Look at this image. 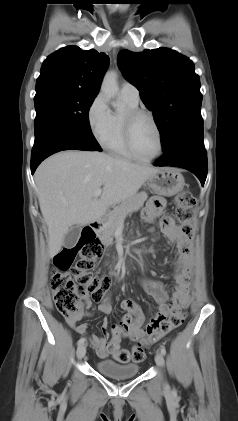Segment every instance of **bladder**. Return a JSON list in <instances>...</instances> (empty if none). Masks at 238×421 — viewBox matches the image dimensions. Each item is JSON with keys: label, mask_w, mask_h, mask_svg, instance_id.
Here are the masks:
<instances>
[{"label": "bladder", "mask_w": 238, "mask_h": 421, "mask_svg": "<svg viewBox=\"0 0 238 421\" xmlns=\"http://www.w3.org/2000/svg\"><path fill=\"white\" fill-rule=\"evenodd\" d=\"M97 370L105 376L114 379H127L139 373V366L135 363H119L111 359H102L96 362Z\"/></svg>", "instance_id": "31cf9c89"}]
</instances>
